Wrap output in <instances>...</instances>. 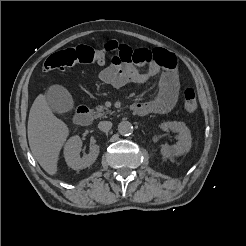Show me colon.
Wrapping results in <instances>:
<instances>
[{"label":"colon","instance_id":"5ec220e1","mask_svg":"<svg viewBox=\"0 0 246 246\" xmlns=\"http://www.w3.org/2000/svg\"><path fill=\"white\" fill-rule=\"evenodd\" d=\"M99 64L105 63V53L102 50L94 49L86 45H78L50 55L43 64L45 72L55 69L72 67L77 64ZM183 105L187 113H193L197 110L198 102L196 93L192 88H187L183 94Z\"/></svg>","mask_w":246,"mask_h":246}]
</instances>
